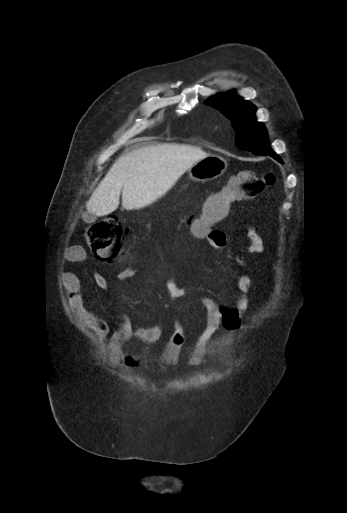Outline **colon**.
Returning a JSON list of instances; mask_svg holds the SVG:
<instances>
[{
  "label": "colon",
  "mask_w": 347,
  "mask_h": 513,
  "mask_svg": "<svg viewBox=\"0 0 347 513\" xmlns=\"http://www.w3.org/2000/svg\"><path fill=\"white\" fill-rule=\"evenodd\" d=\"M274 180L271 173L257 175L251 170L233 175L220 191L206 198L200 216L191 225L192 234H205L229 214L231 204L255 198ZM124 235V227L114 217L95 222L86 230L91 249L102 261H114L123 254Z\"/></svg>",
  "instance_id": "1"
}]
</instances>
